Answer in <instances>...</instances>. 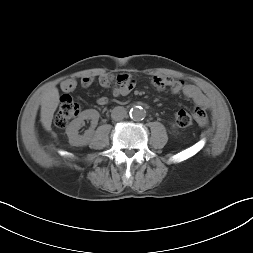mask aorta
Masks as SVG:
<instances>
[{
  "mask_svg": "<svg viewBox=\"0 0 253 253\" xmlns=\"http://www.w3.org/2000/svg\"><path fill=\"white\" fill-rule=\"evenodd\" d=\"M146 116V111L144 108H142L141 106H134L133 108H131L130 110V117L134 120V121H140L143 120Z\"/></svg>",
  "mask_w": 253,
  "mask_h": 253,
  "instance_id": "aorta-1",
  "label": "aorta"
}]
</instances>
